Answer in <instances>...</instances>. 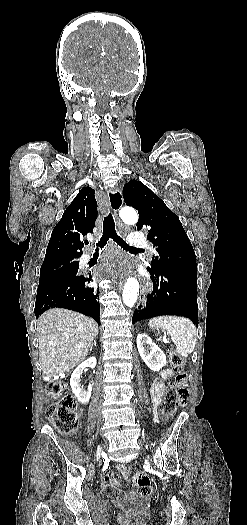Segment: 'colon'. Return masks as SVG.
<instances>
[{"label":"colon","mask_w":247,"mask_h":525,"mask_svg":"<svg viewBox=\"0 0 247 525\" xmlns=\"http://www.w3.org/2000/svg\"><path fill=\"white\" fill-rule=\"evenodd\" d=\"M170 363L177 375L164 397L163 414L168 418L175 414L178 407L186 404L189 383L188 374L183 371L184 361L177 352L171 353ZM47 393L56 401L47 406L45 410L47 419L63 433H73L78 426L77 406L73 398L67 394L66 385L59 381L50 382ZM134 479L140 495L152 496L154 487L146 473L137 472L134 474Z\"/></svg>","instance_id":"obj_1"}]
</instances>
